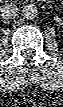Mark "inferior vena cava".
Instances as JSON below:
<instances>
[{
    "mask_svg": "<svg viewBox=\"0 0 63 107\" xmlns=\"http://www.w3.org/2000/svg\"><path fill=\"white\" fill-rule=\"evenodd\" d=\"M0 11L3 19H12L17 15L18 8L16 5L8 4L2 6Z\"/></svg>",
    "mask_w": 63,
    "mask_h": 107,
    "instance_id": "1",
    "label": "inferior vena cava"
}]
</instances>
